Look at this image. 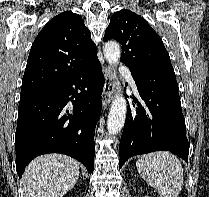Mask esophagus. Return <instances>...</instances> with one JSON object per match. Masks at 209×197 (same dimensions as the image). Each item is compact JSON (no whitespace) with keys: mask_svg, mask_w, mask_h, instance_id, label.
Returning a JSON list of instances; mask_svg holds the SVG:
<instances>
[{"mask_svg":"<svg viewBox=\"0 0 209 197\" xmlns=\"http://www.w3.org/2000/svg\"><path fill=\"white\" fill-rule=\"evenodd\" d=\"M104 86L102 92V108L105 110L113 97L114 92V74L110 66L103 67Z\"/></svg>","mask_w":209,"mask_h":197,"instance_id":"obj_1","label":"esophagus"}]
</instances>
